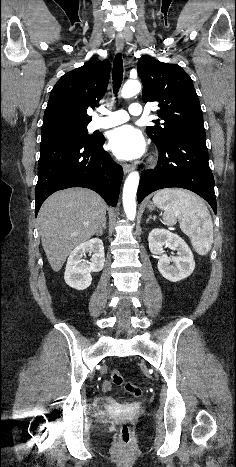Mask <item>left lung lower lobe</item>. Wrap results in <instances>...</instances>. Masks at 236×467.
<instances>
[{
    "label": "left lung lower lobe",
    "mask_w": 236,
    "mask_h": 467,
    "mask_svg": "<svg viewBox=\"0 0 236 467\" xmlns=\"http://www.w3.org/2000/svg\"><path fill=\"white\" fill-rule=\"evenodd\" d=\"M159 160L153 170L142 172L137 199L163 188L179 187L204 198L216 213L214 177L208 163L205 131L182 132L157 145Z\"/></svg>",
    "instance_id": "0a47b994"
}]
</instances>
